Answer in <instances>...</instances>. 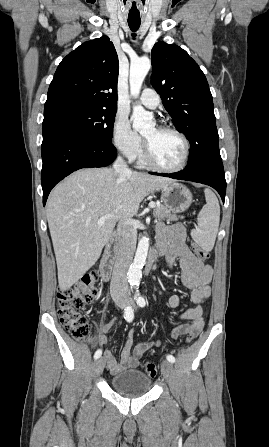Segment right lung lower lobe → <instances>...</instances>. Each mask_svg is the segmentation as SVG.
I'll list each match as a JSON object with an SVG mask.
<instances>
[{
  "mask_svg": "<svg viewBox=\"0 0 269 447\" xmlns=\"http://www.w3.org/2000/svg\"><path fill=\"white\" fill-rule=\"evenodd\" d=\"M42 142L43 205L52 188L81 168L104 167L116 158L112 143L91 137L64 119L44 117Z\"/></svg>",
  "mask_w": 269,
  "mask_h": 447,
  "instance_id": "98d812e1",
  "label": "right lung lower lobe"
}]
</instances>
